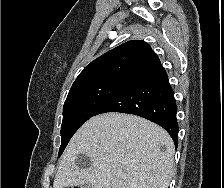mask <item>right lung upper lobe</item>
Instances as JSON below:
<instances>
[{
	"label": "right lung upper lobe",
	"instance_id": "cb5924a9",
	"mask_svg": "<svg viewBox=\"0 0 224 188\" xmlns=\"http://www.w3.org/2000/svg\"><path fill=\"white\" fill-rule=\"evenodd\" d=\"M157 63L160 60L148 43L131 40L92 61L73 85L110 77L134 79Z\"/></svg>",
	"mask_w": 224,
	"mask_h": 188
}]
</instances>
